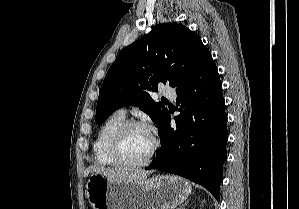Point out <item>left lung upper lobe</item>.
Returning <instances> with one entry per match:
<instances>
[{
	"label": "left lung upper lobe",
	"instance_id": "left-lung-upper-lobe-1",
	"mask_svg": "<svg viewBox=\"0 0 299 209\" xmlns=\"http://www.w3.org/2000/svg\"><path fill=\"white\" fill-rule=\"evenodd\" d=\"M211 58L200 37L185 26L156 25L124 48L109 68L99 92L96 123H103L123 106L138 105L160 126L168 110L148 92L156 91L159 82L171 87L183 85Z\"/></svg>",
	"mask_w": 299,
	"mask_h": 209
}]
</instances>
